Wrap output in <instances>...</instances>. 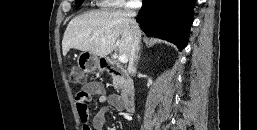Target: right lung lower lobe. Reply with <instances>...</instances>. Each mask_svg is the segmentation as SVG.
I'll use <instances>...</instances> for the list:
<instances>
[{
	"label": "right lung lower lobe",
	"instance_id": "right-lung-lower-lobe-1",
	"mask_svg": "<svg viewBox=\"0 0 257 130\" xmlns=\"http://www.w3.org/2000/svg\"><path fill=\"white\" fill-rule=\"evenodd\" d=\"M195 0H143L137 22L150 37L168 40L182 50L193 22Z\"/></svg>",
	"mask_w": 257,
	"mask_h": 130
}]
</instances>
